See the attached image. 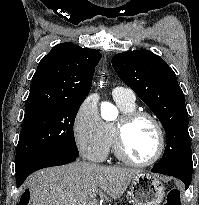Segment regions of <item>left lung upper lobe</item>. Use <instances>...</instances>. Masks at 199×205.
Instances as JSON below:
<instances>
[{
	"label": "left lung upper lobe",
	"instance_id": "5c2ea615",
	"mask_svg": "<svg viewBox=\"0 0 199 205\" xmlns=\"http://www.w3.org/2000/svg\"><path fill=\"white\" fill-rule=\"evenodd\" d=\"M112 66L120 79L154 112L166 131L164 155L153 168L192 177L188 112L174 71L148 50L116 54Z\"/></svg>",
	"mask_w": 199,
	"mask_h": 205
}]
</instances>
